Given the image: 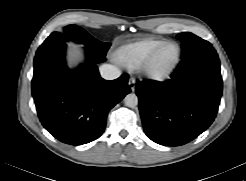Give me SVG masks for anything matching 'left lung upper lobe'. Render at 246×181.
<instances>
[{
    "label": "left lung upper lobe",
    "instance_id": "left-lung-upper-lobe-1",
    "mask_svg": "<svg viewBox=\"0 0 246 181\" xmlns=\"http://www.w3.org/2000/svg\"><path fill=\"white\" fill-rule=\"evenodd\" d=\"M177 37L182 42V56L190 55L197 51L212 47L209 42L190 32L180 33Z\"/></svg>",
    "mask_w": 246,
    "mask_h": 181
}]
</instances>
